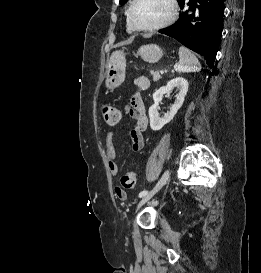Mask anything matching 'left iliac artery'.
<instances>
[{"mask_svg":"<svg viewBox=\"0 0 261 273\" xmlns=\"http://www.w3.org/2000/svg\"><path fill=\"white\" fill-rule=\"evenodd\" d=\"M161 180L157 183V185L154 187V189L153 190H158V189H160V187H161ZM146 194H148V191L147 190H143V191H141L140 193H139V197H143V196H145Z\"/></svg>","mask_w":261,"mask_h":273,"instance_id":"1","label":"left iliac artery"}]
</instances>
